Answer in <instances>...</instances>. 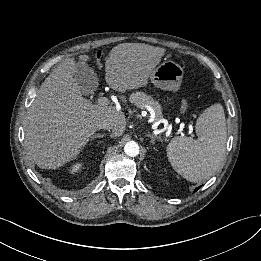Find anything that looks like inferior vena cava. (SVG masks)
I'll return each mask as SVG.
<instances>
[{"mask_svg":"<svg viewBox=\"0 0 261 261\" xmlns=\"http://www.w3.org/2000/svg\"><path fill=\"white\" fill-rule=\"evenodd\" d=\"M98 129H106L108 131H111V130H113V126L108 122H104V123L100 124Z\"/></svg>","mask_w":261,"mask_h":261,"instance_id":"1","label":"inferior vena cava"}]
</instances>
